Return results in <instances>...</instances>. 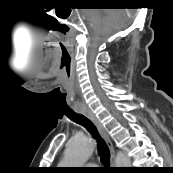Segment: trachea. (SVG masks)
<instances>
[{"mask_svg": "<svg viewBox=\"0 0 173 173\" xmlns=\"http://www.w3.org/2000/svg\"><path fill=\"white\" fill-rule=\"evenodd\" d=\"M70 119L73 122L86 128L87 131H89V133L93 135V137L97 140L98 154L100 156V160H101L102 164L105 166H109V161H110L109 148H108L106 142L104 141V139L100 137L98 130H97L96 126L94 125V123L89 118H87L86 116H84L82 114H74V115L70 116Z\"/></svg>", "mask_w": 173, "mask_h": 173, "instance_id": "obj_1", "label": "trachea"}]
</instances>
